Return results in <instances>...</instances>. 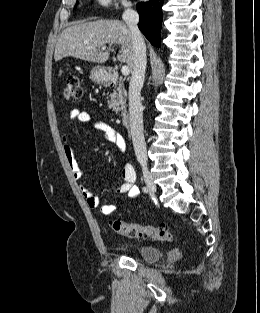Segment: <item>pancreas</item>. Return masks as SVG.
I'll return each mask as SVG.
<instances>
[{"mask_svg": "<svg viewBox=\"0 0 260 313\" xmlns=\"http://www.w3.org/2000/svg\"><path fill=\"white\" fill-rule=\"evenodd\" d=\"M126 98L127 92L123 87V83L120 82L119 86L110 94V99L107 101L108 107L115 112L123 111L126 109Z\"/></svg>", "mask_w": 260, "mask_h": 313, "instance_id": "pancreas-1", "label": "pancreas"}]
</instances>
